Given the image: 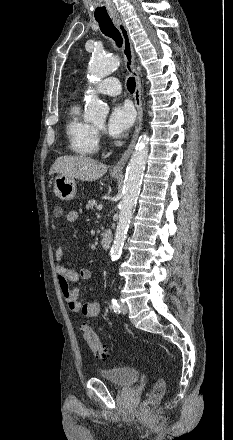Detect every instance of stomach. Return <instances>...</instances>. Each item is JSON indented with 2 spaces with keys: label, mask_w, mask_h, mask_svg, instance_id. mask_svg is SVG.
I'll use <instances>...</instances> for the list:
<instances>
[{
  "label": "stomach",
  "mask_w": 233,
  "mask_h": 440,
  "mask_svg": "<svg viewBox=\"0 0 233 440\" xmlns=\"http://www.w3.org/2000/svg\"><path fill=\"white\" fill-rule=\"evenodd\" d=\"M113 178H119L118 174H112ZM54 186V193L55 195L64 201H69L74 199L76 195V182L74 178L64 176V175H57L53 182Z\"/></svg>",
  "instance_id": "stomach-1"
}]
</instances>
